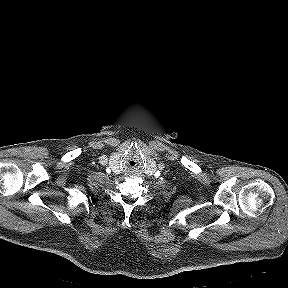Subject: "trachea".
<instances>
[{
  "mask_svg": "<svg viewBox=\"0 0 288 288\" xmlns=\"http://www.w3.org/2000/svg\"><path fill=\"white\" fill-rule=\"evenodd\" d=\"M140 158L139 155L133 151H130L127 155L125 164L130 168H135L139 165Z\"/></svg>",
  "mask_w": 288,
  "mask_h": 288,
  "instance_id": "trachea-1",
  "label": "trachea"
}]
</instances>
